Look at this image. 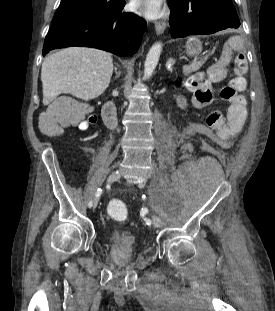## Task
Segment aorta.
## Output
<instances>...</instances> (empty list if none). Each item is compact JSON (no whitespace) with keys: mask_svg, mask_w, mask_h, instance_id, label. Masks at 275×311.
Masks as SVG:
<instances>
[{"mask_svg":"<svg viewBox=\"0 0 275 311\" xmlns=\"http://www.w3.org/2000/svg\"><path fill=\"white\" fill-rule=\"evenodd\" d=\"M162 45L161 43L157 42L155 43L149 50L145 64H144V77L145 79H149L152 74L154 73V70L158 64L159 57L161 54Z\"/></svg>","mask_w":275,"mask_h":311,"instance_id":"aorta-1","label":"aorta"}]
</instances>
